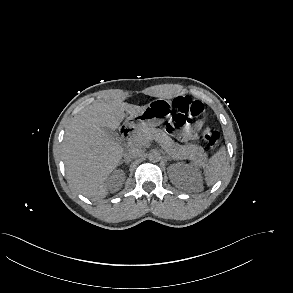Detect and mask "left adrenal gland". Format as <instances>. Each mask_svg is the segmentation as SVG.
<instances>
[{"mask_svg": "<svg viewBox=\"0 0 293 293\" xmlns=\"http://www.w3.org/2000/svg\"><path fill=\"white\" fill-rule=\"evenodd\" d=\"M167 159H168V160H172L173 158H171L170 156H167Z\"/></svg>", "mask_w": 293, "mask_h": 293, "instance_id": "left-adrenal-gland-1", "label": "left adrenal gland"}]
</instances>
